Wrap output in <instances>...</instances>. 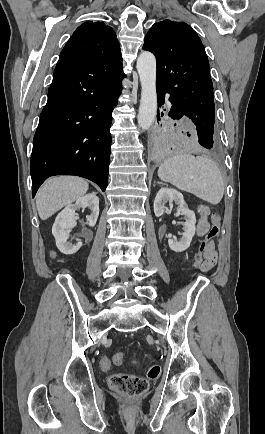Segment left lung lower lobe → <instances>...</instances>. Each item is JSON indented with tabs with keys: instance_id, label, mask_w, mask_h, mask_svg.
I'll list each match as a JSON object with an SVG mask.
<instances>
[{
	"instance_id": "0a47b994",
	"label": "left lung lower lobe",
	"mask_w": 265,
	"mask_h": 434,
	"mask_svg": "<svg viewBox=\"0 0 265 434\" xmlns=\"http://www.w3.org/2000/svg\"><path fill=\"white\" fill-rule=\"evenodd\" d=\"M157 87V96L158 103L162 105L164 103V95L167 92L164 88L156 85ZM172 102V108L169 112V116L173 119L187 118L185 113L183 112L182 107L176 103L172 98H170ZM158 119L160 116L158 114ZM197 136H198V149L205 154L218 153L221 150V143L219 140L218 132L215 125H200L196 126ZM156 149L163 153L169 154L172 152L180 151V147L169 139H158L155 142Z\"/></svg>"
}]
</instances>
